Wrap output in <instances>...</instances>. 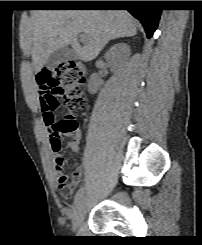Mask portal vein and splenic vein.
I'll use <instances>...</instances> for the list:
<instances>
[{"label":"portal vein and splenic vein","mask_w":202,"mask_h":245,"mask_svg":"<svg viewBox=\"0 0 202 245\" xmlns=\"http://www.w3.org/2000/svg\"><path fill=\"white\" fill-rule=\"evenodd\" d=\"M80 40L81 42H86V35L85 34H80Z\"/></svg>","instance_id":"18ae733b"}]
</instances>
